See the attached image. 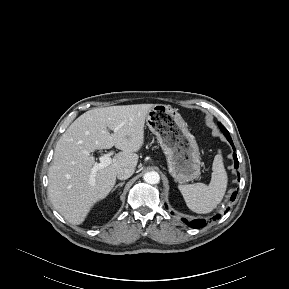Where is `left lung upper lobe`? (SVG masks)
<instances>
[{"mask_svg": "<svg viewBox=\"0 0 289 289\" xmlns=\"http://www.w3.org/2000/svg\"><path fill=\"white\" fill-rule=\"evenodd\" d=\"M218 125L221 131L224 133V135L229 134L228 130L221 123H218Z\"/></svg>", "mask_w": 289, "mask_h": 289, "instance_id": "1", "label": "left lung upper lobe"}]
</instances>
